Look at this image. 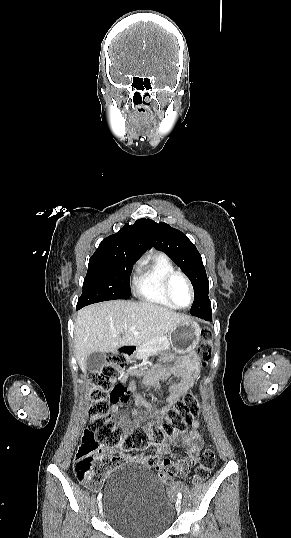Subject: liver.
<instances>
[{
    "label": "liver",
    "instance_id": "1",
    "mask_svg": "<svg viewBox=\"0 0 291 538\" xmlns=\"http://www.w3.org/2000/svg\"><path fill=\"white\" fill-rule=\"evenodd\" d=\"M189 319L151 302L114 300L85 307L78 312L74 326L77 362L85 373L89 354L141 345Z\"/></svg>",
    "mask_w": 291,
    "mask_h": 538
}]
</instances>
